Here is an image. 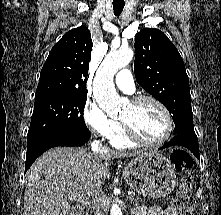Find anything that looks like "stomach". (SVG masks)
I'll use <instances>...</instances> for the list:
<instances>
[{"label": "stomach", "mask_w": 221, "mask_h": 215, "mask_svg": "<svg viewBox=\"0 0 221 215\" xmlns=\"http://www.w3.org/2000/svg\"><path fill=\"white\" fill-rule=\"evenodd\" d=\"M125 182L148 198L168 196L176 187L172 162L158 152H148L131 159L123 170Z\"/></svg>", "instance_id": "1"}]
</instances>
